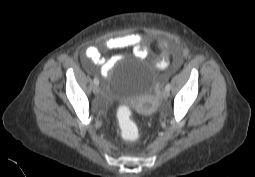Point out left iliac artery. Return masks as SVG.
Returning a JSON list of instances; mask_svg holds the SVG:
<instances>
[{
	"instance_id": "left-iliac-artery-1",
	"label": "left iliac artery",
	"mask_w": 255,
	"mask_h": 177,
	"mask_svg": "<svg viewBox=\"0 0 255 177\" xmlns=\"http://www.w3.org/2000/svg\"><path fill=\"white\" fill-rule=\"evenodd\" d=\"M170 88H171V85H170V83H167V84H166V87H165V89H166V90H170Z\"/></svg>"
}]
</instances>
